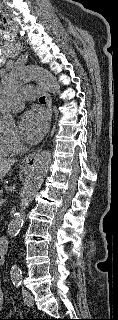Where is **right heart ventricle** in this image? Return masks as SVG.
Masks as SVG:
<instances>
[{
    "label": "right heart ventricle",
    "mask_w": 118,
    "mask_h": 320,
    "mask_svg": "<svg viewBox=\"0 0 118 320\" xmlns=\"http://www.w3.org/2000/svg\"><path fill=\"white\" fill-rule=\"evenodd\" d=\"M13 151L9 138L0 133V156H6L11 154Z\"/></svg>",
    "instance_id": "right-heart-ventricle-1"
}]
</instances>
